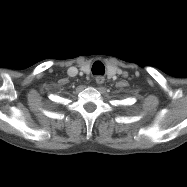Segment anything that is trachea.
<instances>
[{
	"label": "trachea",
	"mask_w": 187,
	"mask_h": 187,
	"mask_svg": "<svg viewBox=\"0 0 187 187\" xmlns=\"http://www.w3.org/2000/svg\"><path fill=\"white\" fill-rule=\"evenodd\" d=\"M104 72H105V67L100 61H97L93 64L92 73L94 75H103Z\"/></svg>",
	"instance_id": "trachea-1"
}]
</instances>
